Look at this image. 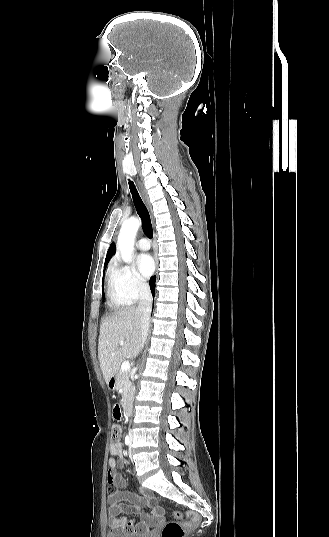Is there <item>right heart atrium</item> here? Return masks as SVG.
<instances>
[{
    "label": "right heart atrium",
    "mask_w": 329,
    "mask_h": 537,
    "mask_svg": "<svg viewBox=\"0 0 329 537\" xmlns=\"http://www.w3.org/2000/svg\"><path fill=\"white\" fill-rule=\"evenodd\" d=\"M110 274L117 292L128 302H135L144 297L149 287L134 267L115 264Z\"/></svg>",
    "instance_id": "1"
}]
</instances>
